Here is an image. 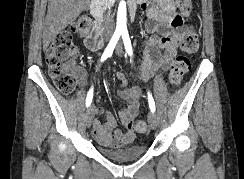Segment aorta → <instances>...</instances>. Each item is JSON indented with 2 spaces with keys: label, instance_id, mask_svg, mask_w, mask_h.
<instances>
[{
  "label": "aorta",
  "instance_id": "aorta-1",
  "mask_svg": "<svg viewBox=\"0 0 244 179\" xmlns=\"http://www.w3.org/2000/svg\"><path fill=\"white\" fill-rule=\"evenodd\" d=\"M126 6L125 2H120L118 12H117V26H116V32H123V30H127L126 28Z\"/></svg>",
  "mask_w": 244,
  "mask_h": 179
}]
</instances>
